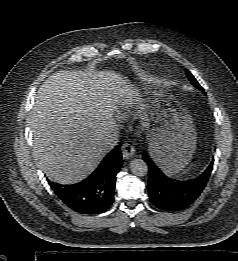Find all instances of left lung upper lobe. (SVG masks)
Masks as SVG:
<instances>
[{"label": "left lung upper lobe", "mask_w": 238, "mask_h": 261, "mask_svg": "<svg viewBox=\"0 0 238 261\" xmlns=\"http://www.w3.org/2000/svg\"><path fill=\"white\" fill-rule=\"evenodd\" d=\"M186 75H187V77L189 78L190 82H191L194 86L198 87L202 92H204V90H203V88L201 87V85L197 82V80L194 78V76H193L188 70H186Z\"/></svg>", "instance_id": "5c2ea615"}]
</instances>
